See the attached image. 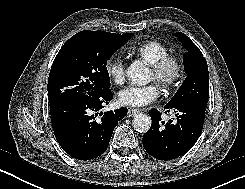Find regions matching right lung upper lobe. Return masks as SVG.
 <instances>
[{"instance_id":"right-lung-upper-lobe-1","label":"right lung upper lobe","mask_w":245,"mask_h":189,"mask_svg":"<svg viewBox=\"0 0 245 189\" xmlns=\"http://www.w3.org/2000/svg\"><path fill=\"white\" fill-rule=\"evenodd\" d=\"M105 33H108V32H105ZM108 34H111V35H113V36H123L124 34H114V33H108Z\"/></svg>"}]
</instances>
